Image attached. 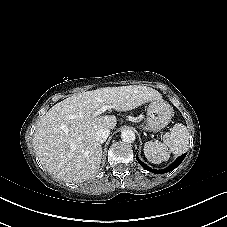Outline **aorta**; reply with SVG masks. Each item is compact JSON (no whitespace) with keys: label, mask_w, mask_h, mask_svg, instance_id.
Returning a JSON list of instances; mask_svg holds the SVG:
<instances>
[{"label":"aorta","mask_w":227,"mask_h":227,"mask_svg":"<svg viewBox=\"0 0 227 227\" xmlns=\"http://www.w3.org/2000/svg\"><path fill=\"white\" fill-rule=\"evenodd\" d=\"M135 138V133L130 129L121 132V139L123 142L132 143L135 141Z\"/></svg>","instance_id":"762f6f07"}]
</instances>
